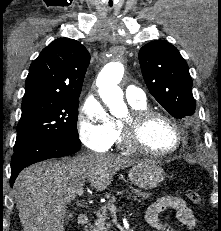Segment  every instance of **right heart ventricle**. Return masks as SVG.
<instances>
[{"label":"right heart ventricle","instance_id":"1","mask_svg":"<svg viewBox=\"0 0 221 231\" xmlns=\"http://www.w3.org/2000/svg\"><path fill=\"white\" fill-rule=\"evenodd\" d=\"M130 105L132 107L133 110H140V109H145L146 106V102H130ZM120 124H116V138L115 141L118 143V145H122L121 144V134H120Z\"/></svg>","mask_w":221,"mask_h":231}]
</instances>
